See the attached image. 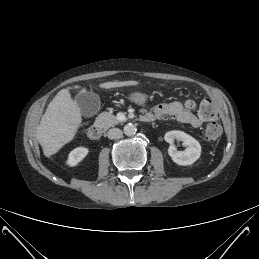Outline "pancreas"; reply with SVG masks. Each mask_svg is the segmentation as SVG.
Returning <instances> with one entry per match:
<instances>
[{"label":"pancreas","instance_id":"pancreas-1","mask_svg":"<svg viewBox=\"0 0 259 259\" xmlns=\"http://www.w3.org/2000/svg\"><path fill=\"white\" fill-rule=\"evenodd\" d=\"M95 123L104 129H108L120 123V121L111 112H102L96 118Z\"/></svg>","mask_w":259,"mask_h":259}]
</instances>
